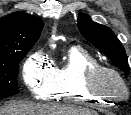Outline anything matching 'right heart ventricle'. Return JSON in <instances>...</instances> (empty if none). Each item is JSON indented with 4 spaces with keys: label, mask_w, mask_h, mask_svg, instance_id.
<instances>
[{
    "label": "right heart ventricle",
    "mask_w": 131,
    "mask_h": 115,
    "mask_svg": "<svg viewBox=\"0 0 131 115\" xmlns=\"http://www.w3.org/2000/svg\"><path fill=\"white\" fill-rule=\"evenodd\" d=\"M98 64L97 59L87 50L69 47L65 52L64 63L55 68L57 87L50 98L91 106H105L114 101L94 96L83 88L86 69Z\"/></svg>",
    "instance_id": "obj_1"
}]
</instances>
